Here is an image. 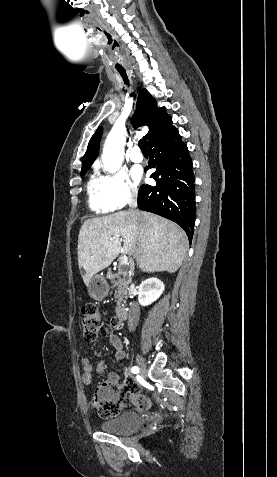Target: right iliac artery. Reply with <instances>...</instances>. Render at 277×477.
I'll use <instances>...</instances> for the list:
<instances>
[{
  "label": "right iliac artery",
  "instance_id": "right-iliac-artery-1",
  "mask_svg": "<svg viewBox=\"0 0 277 477\" xmlns=\"http://www.w3.org/2000/svg\"><path fill=\"white\" fill-rule=\"evenodd\" d=\"M138 371H139V368H138V367L135 366V367L132 368V372H133V373H137Z\"/></svg>",
  "mask_w": 277,
  "mask_h": 477
}]
</instances>
